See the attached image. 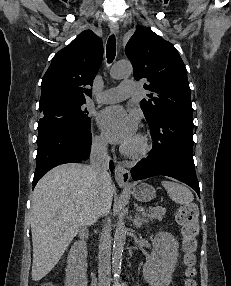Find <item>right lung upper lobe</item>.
I'll list each match as a JSON object with an SVG mask.
<instances>
[{"label": "right lung upper lobe", "mask_w": 231, "mask_h": 286, "mask_svg": "<svg viewBox=\"0 0 231 286\" xmlns=\"http://www.w3.org/2000/svg\"><path fill=\"white\" fill-rule=\"evenodd\" d=\"M103 57V45L92 31L80 33L52 59L41 86L39 106L56 101H86Z\"/></svg>", "instance_id": "cb5924a9"}]
</instances>
